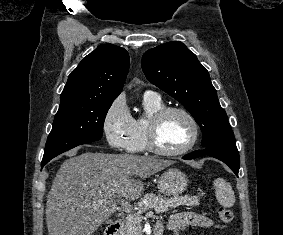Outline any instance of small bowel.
Instances as JSON below:
<instances>
[{
  "instance_id": "1",
  "label": "small bowel",
  "mask_w": 283,
  "mask_h": 235,
  "mask_svg": "<svg viewBox=\"0 0 283 235\" xmlns=\"http://www.w3.org/2000/svg\"><path fill=\"white\" fill-rule=\"evenodd\" d=\"M162 225V233L164 228L173 231L176 235H179L184 229L190 226H198L205 228H220L221 226L215 224L208 216L196 212H178L169 218L166 224L158 222Z\"/></svg>"
}]
</instances>
